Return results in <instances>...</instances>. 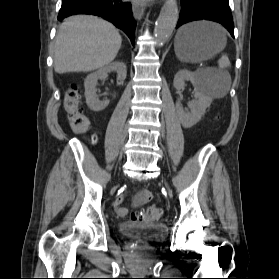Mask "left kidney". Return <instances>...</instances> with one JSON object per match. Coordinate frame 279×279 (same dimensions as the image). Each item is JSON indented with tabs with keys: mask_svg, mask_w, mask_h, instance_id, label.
Here are the masks:
<instances>
[{
	"mask_svg": "<svg viewBox=\"0 0 279 279\" xmlns=\"http://www.w3.org/2000/svg\"><path fill=\"white\" fill-rule=\"evenodd\" d=\"M205 76L201 72H191L186 69L180 70L174 77L173 85L178 90H184L185 82L190 81L194 86L195 100L188 104L190 111H185L178 101L176 111L184 128H191L197 124L211 105L212 97L204 91Z\"/></svg>",
	"mask_w": 279,
	"mask_h": 279,
	"instance_id": "5707ae66",
	"label": "left kidney"
}]
</instances>
